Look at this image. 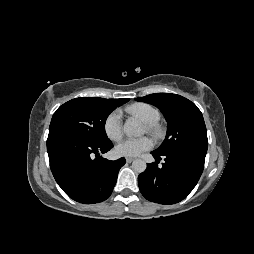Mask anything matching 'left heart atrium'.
Instances as JSON below:
<instances>
[{
  "instance_id": "39dd6f15",
  "label": "left heart atrium",
  "mask_w": 254,
  "mask_h": 254,
  "mask_svg": "<svg viewBox=\"0 0 254 254\" xmlns=\"http://www.w3.org/2000/svg\"><path fill=\"white\" fill-rule=\"evenodd\" d=\"M152 146L153 141L149 137L127 138L117 145L116 152L121 156H138Z\"/></svg>"
}]
</instances>
